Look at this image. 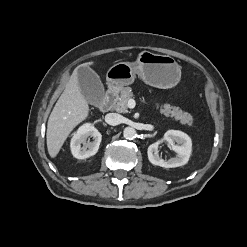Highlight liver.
<instances>
[{
  "instance_id": "obj_1",
  "label": "liver",
  "mask_w": 247,
  "mask_h": 247,
  "mask_svg": "<svg viewBox=\"0 0 247 247\" xmlns=\"http://www.w3.org/2000/svg\"><path fill=\"white\" fill-rule=\"evenodd\" d=\"M88 62L81 66H90ZM89 114V106L80 91L77 70L71 75L66 87L56 102L47 123V149L51 158H55L71 131Z\"/></svg>"
}]
</instances>
